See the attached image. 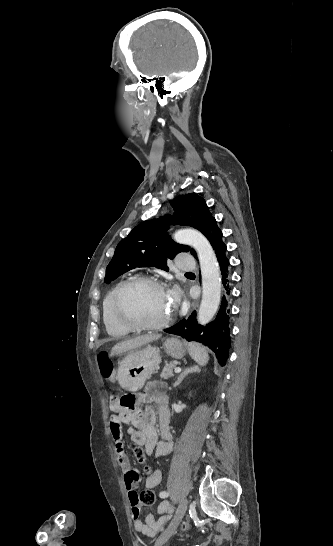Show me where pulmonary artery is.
Segmentation results:
<instances>
[{"label":"pulmonary artery","mask_w":333,"mask_h":546,"mask_svg":"<svg viewBox=\"0 0 333 546\" xmlns=\"http://www.w3.org/2000/svg\"><path fill=\"white\" fill-rule=\"evenodd\" d=\"M176 264H177L179 269L184 270V271H189V270H192L194 268V260H193V258L191 256H189L187 254H180L177 257Z\"/></svg>","instance_id":"e3ab8cb5"}]
</instances>
